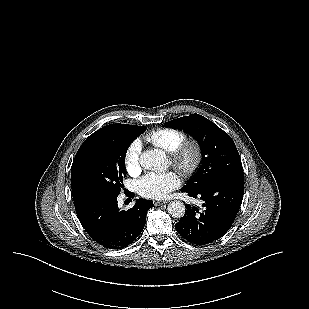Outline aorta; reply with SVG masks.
<instances>
[{
  "label": "aorta",
  "instance_id": "762f6f07",
  "mask_svg": "<svg viewBox=\"0 0 309 309\" xmlns=\"http://www.w3.org/2000/svg\"><path fill=\"white\" fill-rule=\"evenodd\" d=\"M165 163V153L159 149L147 150L140 156V164L147 169H160ZM167 209L173 218H181L185 214V205L181 201L170 202Z\"/></svg>",
  "mask_w": 309,
  "mask_h": 309
}]
</instances>
